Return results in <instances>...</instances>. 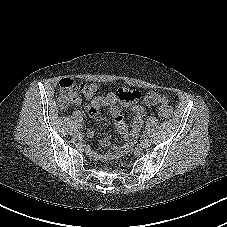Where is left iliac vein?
<instances>
[{
    "label": "left iliac vein",
    "instance_id": "1",
    "mask_svg": "<svg viewBox=\"0 0 227 227\" xmlns=\"http://www.w3.org/2000/svg\"><path fill=\"white\" fill-rule=\"evenodd\" d=\"M151 145V140L148 137H143L140 141L142 148H148Z\"/></svg>",
    "mask_w": 227,
    "mask_h": 227
}]
</instances>
